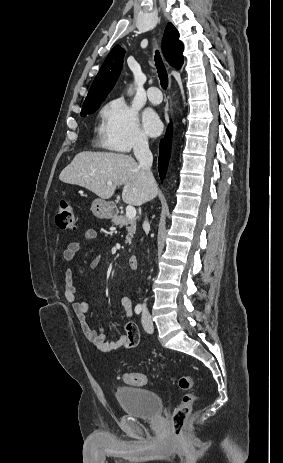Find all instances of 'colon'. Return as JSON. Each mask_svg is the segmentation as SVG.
Returning <instances> with one entry per match:
<instances>
[{
	"label": "colon",
	"mask_w": 283,
	"mask_h": 463,
	"mask_svg": "<svg viewBox=\"0 0 283 463\" xmlns=\"http://www.w3.org/2000/svg\"><path fill=\"white\" fill-rule=\"evenodd\" d=\"M56 222L60 229L72 231L76 229V218L71 203L67 200H62L59 204ZM124 382L133 386H143L147 384L151 378L144 373L124 372L121 375ZM173 381L177 386L184 391L180 404L175 409L171 417V428L174 437H180L183 432V426L190 415L192 408L196 402V396L190 392L193 388L194 380L190 375L182 374Z\"/></svg>",
	"instance_id": "obj_1"
}]
</instances>
